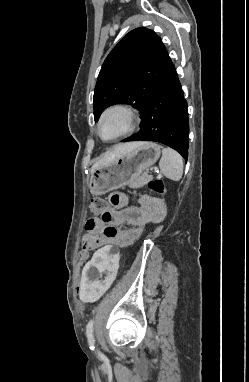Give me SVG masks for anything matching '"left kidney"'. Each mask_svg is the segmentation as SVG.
<instances>
[{
    "mask_svg": "<svg viewBox=\"0 0 249 382\" xmlns=\"http://www.w3.org/2000/svg\"><path fill=\"white\" fill-rule=\"evenodd\" d=\"M117 245H101L81 272L76 300L90 304L99 302L102 293L113 287L120 276V259Z\"/></svg>",
    "mask_w": 249,
    "mask_h": 382,
    "instance_id": "left-kidney-1",
    "label": "left kidney"
}]
</instances>
